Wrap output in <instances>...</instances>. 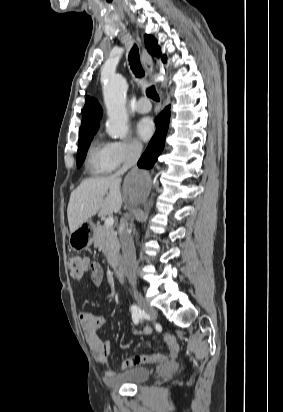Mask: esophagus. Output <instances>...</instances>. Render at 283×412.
<instances>
[{"instance_id": "1", "label": "esophagus", "mask_w": 283, "mask_h": 412, "mask_svg": "<svg viewBox=\"0 0 283 412\" xmlns=\"http://www.w3.org/2000/svg\"><path fill=\"white\" fill-rule=\"evenodd\" d=\"M142 62L146 72L151 75L154 71V67L145 50L142 52Z\"/></svg>"}]
</instances>
